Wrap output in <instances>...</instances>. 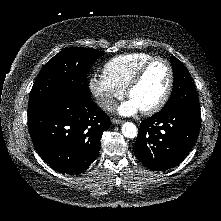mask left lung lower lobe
Masks as SVG:
<instances>
[{
  "mask_svg": "<svg viewBox=\"0 0 221 221\" xmlns=\"http://www.w3.org/2000/svg\"><path fill=\"white\" fill-rule=\"evenodd\" d=\"M200 116V109L180 106L142 121L133 146L135 156L153 171L177 166L197 141Z\"/></svg>",
  "mask_w": 221,
  "mask_h": 221,
  "instance_id": "left-lung-lower-lobe-1",
  "label": "left lung lower lobe"
}]
</instances>
